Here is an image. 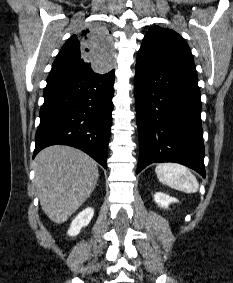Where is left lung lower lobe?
I'll return each instance as SVG.
<instances>
[{
	"mask_svg": "<svg viewBox=\"0 0 233 283\" xmlns=\"http://www.w3.org/2000/svg\"><path fill=\"white\" fill-rule=\"evenodd\" d=\"M134 88L140 146L137 173L154 162H176L205 177L194 62L139 52Z\"/></svg>",
	"mask_w": 233,
	"mask_h": 283,
	"instance_id": "1",
	"label": "left lung lower lobe"
}]
</instances>
